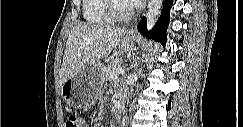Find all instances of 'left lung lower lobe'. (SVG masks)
<instances>
[{
  "label": "left lung lower lobe",
  "mask_w": 243,
  "mask_h": 127,
  "mask_svg": "<svg viewBox=\"0 0 243 127\" xmlns=\"http://www.w3.org/2000/svg\"><path fill=\"white\" fill-rule=\"evenodd\" d=\"M172 4L173 0H165L162 14L151 31L147 32L145 17L138 23V30L142 34L148 35L156 41H160L165 46L167 40L166 30L169 23V12Z\"/></svg>",
  "instance_id": "left-lung-lower-lobe-1"
}]
</instances>
